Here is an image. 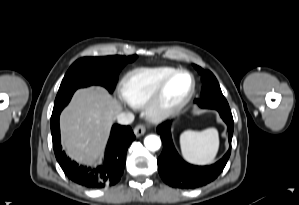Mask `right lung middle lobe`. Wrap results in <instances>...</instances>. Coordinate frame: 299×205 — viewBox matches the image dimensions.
<instances>
[{"label": "right lung middle lobe", "mask_w": 299, "mask_h": 205, "mask_svg": "<svg viewBox=\"0 0 299 205\" xmlns=\"http://www.w3.org/2000/svg\"><path fill=\"white\" fill-rule=\"evenodd\" d=\"M136 58L137 55L80 58L71 65L65 74L55 99L54 108L68 103L76 89L81 87L101 85L112 92L120 69Z\"/></svg>", "instance_id": "obj_1"}]
</instances>
